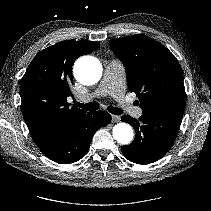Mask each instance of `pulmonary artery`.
Returning <instances> with one entry per match:
<instances>
[{
    "label": "pulmonary artery",
    "instance_id": "pulmonary-artery-1",
    "mask_svg": "<svg viewBox=\"0 0 211 211\" xmlns=\"http://www.w3.org/2000/svg\"><path fill=\"white\" fill-rule=\"evenodd\" d=\"M125 87V70L123 65L116 61H110L104 70L103 79L98 87V89L91 93L89 96H86L84 99H91L94 97H103L106 95H111L117 100H121L124 95ZM133 116L139 118L143 110L140 107H133L131 110Z\"/></svg>",
    "mask_w": 211,
    "mask_h": 211
}]
</instances>
